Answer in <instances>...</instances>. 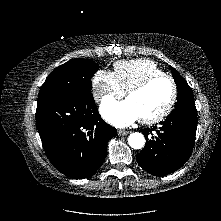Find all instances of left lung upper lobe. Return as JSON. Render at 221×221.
<instances>
[{"mask_svg": "<svg viewBox=\"0 0 221 221\" xmlns=\"http://www.w3.org/2000/svg\"><path fill=\"white\" fill-rule=\"evenodd\" d=\"M170 69L172 70V75L178 88L177 102L175 104V109L172 112L180 110L196 111L193 92L188 83L177 70L173 67H170Z\"/></svg>", "mask_w": 221, "mask_h": 221, "instance_id": "obj_1", "label": "left lung upper lobe"}]
</instances>
